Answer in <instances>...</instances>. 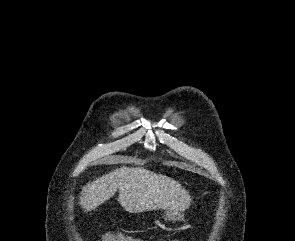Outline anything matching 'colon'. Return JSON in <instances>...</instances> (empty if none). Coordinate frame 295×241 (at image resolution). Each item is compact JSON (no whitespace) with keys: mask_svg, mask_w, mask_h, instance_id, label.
<instances>
[{"mask_svg":"<svg viewBox=\"0 0 295 241\" xmlns=\"http://www.w3.org/2000/svg\"><path fill=\"white\" fill-rule=\"evenodd\" d=\"M127 236L122 233H107L103 237V241H125Z\"/></svg>","mask_w":295,"mask_h":241,"instance_id":"obj_1","label":"colon"}]
</instances>
